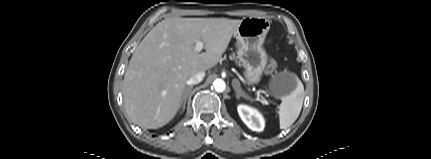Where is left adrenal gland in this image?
<instances>
[{"label":"left adrenal gland","instance_id":"a2214340","mask_svg":"<svg viewBox=\"0 0 431 159\" xmlns=\"http://www.w3.org/2000/svg\"><path fill=\"white\" fill-rule=\"evenodd\" d=\"M233 83H234V91L236 93V98L239 99L240 97H243L245 99H250L249 96H247L243 90L240 88V83L237 79H233Z\"/></svg>","mask_w":431,"mask_h":159}]
</instances>
